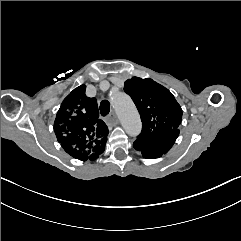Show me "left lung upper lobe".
<instances>
[{
	"label": "left lung upper lobe",
	"mask_w": 241,
	"mask_h": 241,
	"mask_svg": "<svg viewBox=\"0 0 241 241\" xmlns=\"http://www.w3.org/2000/svg\"><path fill=\"white\" fill-rule=\"evenodd\" d=\"M124 91L134 101L142 121L136 143L142 148L157 149L165 136L179 131L182 109L172 93L150 78L133 77Z\"/></svg>",
	"instance_id": "obj_1"
}]
</instances>
